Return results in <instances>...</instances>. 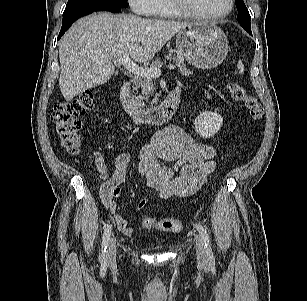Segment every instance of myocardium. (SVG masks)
Wrapping results in <instances>:
<instances>
[{
	"label": "myocardium",
	"instance_id": "obj_1",
	"mask_svg": "<svg viewBox=\"0 0 307 301\" xmlns=\"http://www.w3.org/2000/svg\"><path fill=\"white\" fill-rule=\"evenodd\" d=\"M168 6L179 16L199 21H215L230 15L235 6V0H229V8L227 11L217 15H205L193 11L187 4L186 0H166Z\"/></svg>",
	"mask_w": 307,
	"mask_h": 301
}]
</instances>
